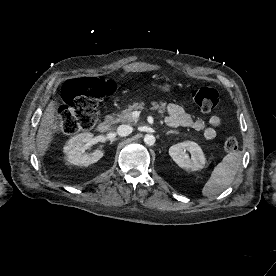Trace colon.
Returning a JSON list of instances; mask_svg holds the SVG:
<instances>
[{
  "mask_svg": "<svg viewBox=\"0 0 276 276\" xmlns=\"http://www.w3.org/2000/svg\"><path fill=\"white\" fill-rule=\"evenodd\" d=\"M114 91L115 86L111 82L99 78L67 81L62 90L64 105L57 111L55 131L71 135L91 129L97 120L99 101ZM191 99L202 112L210 113L219 103V94L211 87H197L191 91ZM237 149L236 137H228L224 150L234 152Z\"/></svg>",
  "mask_w": 276,
  "mask_h": 276,
  "instance_id": "colon-1",
  "label": "colon"
}]
</instances>
